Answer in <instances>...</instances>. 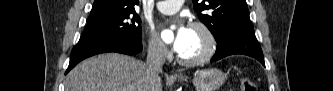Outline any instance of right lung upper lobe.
Here are the masks:
<instances>
[{"instance_id": "1", "label": "right lung upper lobe", "mask_w": 333, "mask_h": 91, "mask_svg": "<svg viewBox=\"0 0 333 91\" xmlns=\"http://www.w3.org/2000/svg\"><path fill=\"white\" fill-rule=\"evenodd\" d=\"M139 0H95L90 18L103 17L134 10Z\"/></svg>"}]
</instances>
